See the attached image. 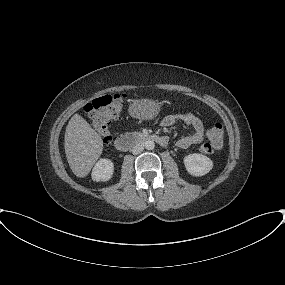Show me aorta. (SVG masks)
<instances>
[{
    "label": "aorta",
    "mask_w": 285,
    "mask_h": 285,
    "mask_svg": "<svg viewBox=\"0 0 285 285\" xmlns=\"http://www.w3.org/2000/svg\"><path fill=\"white\" fill-rule=\"evenodd\" d=\"M143 146L145 147V149L147 150H153L155 147V143L153 140H146L143 144Z\"/></svg>",
    "instance_id": "aorta-1"
}]
</instances>
